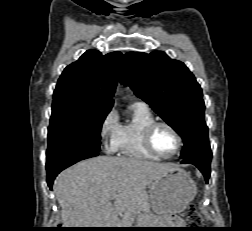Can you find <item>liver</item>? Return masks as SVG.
I'll return each instance as SVG.
<instances>
[{"instance_id": "liver-1", "label": "liver", "mask_w": 252, "mask_h": 231, "mask_svg": "<svg viewBox=\"0 0 252 231\" xmlns=\"http://www.w3.org/2000/svg\"><path fill=\"white\" fill-rule=\"evenodd\" d=\"M172 171L171 164L133 157L99 156L77 163L61 172L53 186L63 226L115 228L119 217L130 221L137 214L138 195Z\"/></svg>"}]
</instances>
